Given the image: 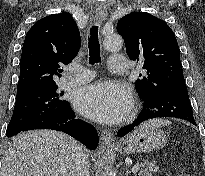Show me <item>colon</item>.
<instances>
[{
  "mask_svg": "<svg viewBox=\"0 0 205 176\" xmlns=\"http://www.w3.org/2000/svg\"><path fill=\"white\" fill-rule=\"evenodd\" d=\"M180 176H190V175H188V174L184 173V174H182V175H180Z\"/></svg>",
  "mask_w": 205,
  "mask_h": 176,
  "instance_id": "colon-1",
  "label": "colon"
}]
</instances>
